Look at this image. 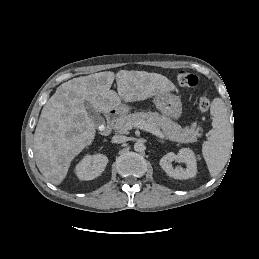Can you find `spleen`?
<instances>
[{"label": "spleen", "mask_w": 259, "mask_h": 259, "mask_svg": "<svg viewBox=\"0 0 259 259\" xmlns=\"http://www.w3.org/2000/svg\"><path fill=\"white\" fill-rule=\"evenodd\" d=\"M210 113L212 131L209 139L202 145V154L211 177L217 176L225 167L231 152L233 129L222 99L215 98Z\"/></svg>", "instance_id": "obj_1"}]
</instances>
